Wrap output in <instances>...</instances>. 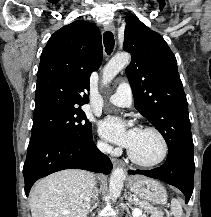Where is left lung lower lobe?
Here are the masks:
<instances>
[{
    "label": "left lung lower lobe",
    "mask_w": 211,
    "mask_h": 217,
    "mask_svg": "<svg viewBox=\"0 0 211 217\" xmlns=\"http://www.w3.org/2000/svg\"><path fill=\"white\" fill-rule=\"evenodd\" d=\"M194 170L193 151L174 149L169 151L167 160L162 166L152 170L129 171V173L156 178L177 187L183 192L188 203L193 192Z\"/></svg>",
    "instance_id": "left-lung-lower-lobe-1"
}]
</instances>
